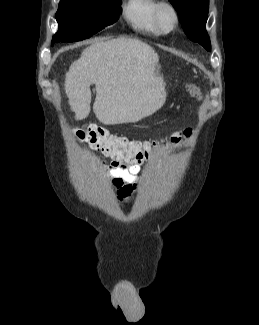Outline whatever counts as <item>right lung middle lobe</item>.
I'll use <instances>...</instances> for the list:
<instances>
[{
  "mask_svg": "<svg viewBox=\"0 0 259 325\" xmlns=\"http://www.w3.org/2000/svg\"><path fill=\"white\" fill-rule=\"evenodd\" d=\"M121 3V0H61L56 13L59 30L51 44L83 40L113 24Z\"/></svg>",
  "mask_w": 259,
  "mask_h": 325,
  "instance_id": "1",
  "label": "right lung middle lobe"
}]
</instances>
